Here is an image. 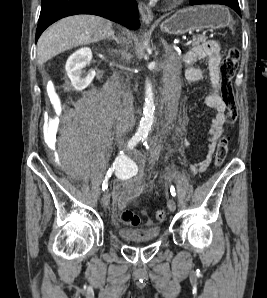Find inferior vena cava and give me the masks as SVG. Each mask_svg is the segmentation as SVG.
<instances>
[{"label":"inferior vena cava","mask_w":267,"mask_h":298,"mask_svg":"<svg viewBox=\"0 0 267 298\" xmlns=\"http://www.w3.org/2000/svg\"><path fill=\"white\" fill-rule=\"evenodd\" d=\"M118 121L124 129H129L134 121L133 95L129 90L120 93V107L118 110Z\"/></svg>","instance_id":"1"}]
</instances>
